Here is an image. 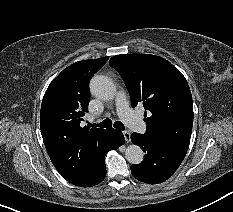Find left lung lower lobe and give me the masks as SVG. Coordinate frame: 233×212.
<instances>
[{
	"mask_svg": "<svg viewBox=\"0 0 233 212\" xmlns=\"http://www.w3.org/2000/svg\"><path fill=\"white\" fill-rule=\"evenodd\" d=\"M133 144L146 153L144 160L131 166L132 175L139 181L157 184L167 180L177 170L187 150L160 143L144 134L133 133Z\"/></svg>",
	"mask_w": 233,
	"mask_h": 212,
	"instance_id": "1",
	"label": "left lung lower lobe"
}]
</instances>
